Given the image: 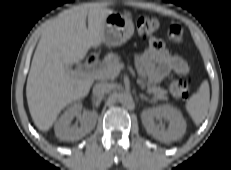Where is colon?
<instances>
[{
  "instance_id": "5ec220e1",
  "label": "colon",
  "mask_w": 231,
  "mask_h": 170,
  "mask_svg": "<svg viewBox=\"0 0 231 170\" xmlns=\"http://www.w3.org/2000/svg\"><path fill=\"white\" fill-rule=\"evenodd\" d=\"M159 22L152 16H139L136 19V28L140 35L144 37L152 36L158 29ZM168 91L175 97L188 98L192 90V80L175 77L167 83Z\"/></svg>"
}]
</instances>
